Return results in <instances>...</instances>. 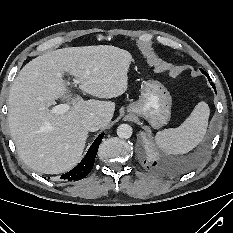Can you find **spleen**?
Returning a JSON list of instances; mask_svg holds the SVG:
<instances>
[{"mask_svg":"<svg viewBox=\"0 0 233 233\" xmlns=\"http://www.w3.org/2000/svg\"><path fill=\"white\" fill-rule=\"evenodd\" d=\"M210 109L206 102H199L190 116L177 128L157 132L155 140L167 154H184L198 145L207 131Z\"/></svg>","mask_w":233,"mask_h":233,"instance_id":"spleen-1","label":"spleen"}]
</instances>
